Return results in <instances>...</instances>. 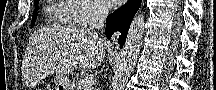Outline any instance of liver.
Here are the masks:
<instances>
[{
  "label": "liver",
  "mask_w": 216,
  "mask_h": 90,
  "mask_svg": "<svg viewBox=\"0 0 216 90\" xmlns=\"http://www.w3.org/2000/svg\"><path fill=\"white\" fill-rule=\"evenodd\" d=\"M97 32L81 28V24H70L66 28H55L46 38L47 54L53 58L54 70L70 74L74 70H94L101 64L105 50Z\"/></svg>",
  "instance_id": "liver-1"
}]
</instances>
